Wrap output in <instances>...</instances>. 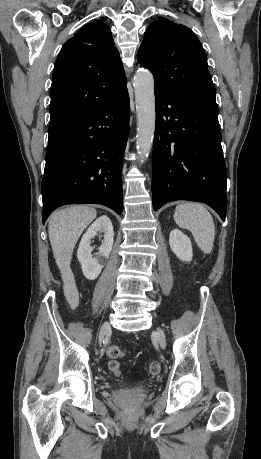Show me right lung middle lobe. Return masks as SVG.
Here are the masks:
<instances>
[{
	"mask_svg": "<svg viewBox=\"0 0 261 459\" xmlns=\"http://www.w3.org/2000/svg\"><path fill=\"white\" fill-rule=\"evenodd\" d=\"M71 124H58L49 126V141H52L63 134Z\"/></svg>",
	"mask_w": 261,
	"mask_h": 459,
	"instance_id": "1",
	"label": "right lung middle lobe"
}]
</instances>
